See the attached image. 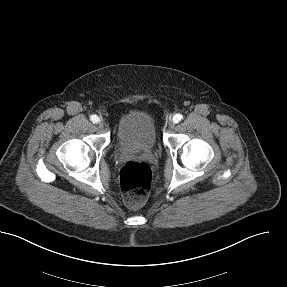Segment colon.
<instances>
[{
	"label": "colon",
	"instance_id": "colon-1",
	"mask_svg": "<svg viewBox=\"0 0 287 287\" xmlns=\"http://www.w3.org/2000/svg\"><path fill=\"white\" fill-rule=\"evenodd\" d=\"M152 172L148 164L138 161L127 162L120 171V185L124 202L129 207H138L149 195Z\"/></svg>",
	"mask_w": 287,
	"mask_h": 287
}]
</instances>
